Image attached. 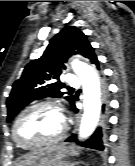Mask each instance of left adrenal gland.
Returning a JSON list of instances; mask_svg holds the SVG:
<instances>
[{
    "instance_id": "a2214340",
    "label": "left adrenal gland",
    "mask_w": 135,
    "mask_h": 166,
    "mask_svg": "<svg viewBox=\"0 0 135 166\" xmlns=\"http://www.w3.org/2000/svg\"><path fill=\"white\" fill-rule=\"evenodd\" d=\"M79 163L77 162V163H73V164H71L70 166H76V165H78Z\"/></svg>"
}]
</instances>
